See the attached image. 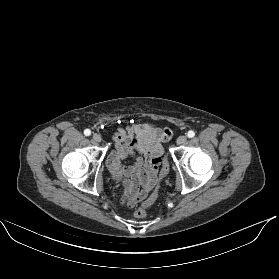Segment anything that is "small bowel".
Segmentation results:
<instances>
[{
    "label": "small bowel",
    "mask_w": 279,
    "mask_h": 279,
    "mask_svg": "<svg viewBox=\"0 0 279 279\" xmlns=\"http://www.w3.org/2000/svg\"><path fill=\"white\" fill-rule=\"evenodd\" d=\"M171 136L169 128L149 122L133 123L113 134L114 150L108 158V167L112 176L123 182V204L127 207L145 199L153 188L161 164V143ZM130 156H135L134 161L122 165L121 161Z\"/></svg>",
    "instance_id": "1"
}]
</instances>
